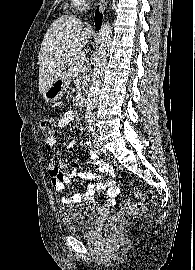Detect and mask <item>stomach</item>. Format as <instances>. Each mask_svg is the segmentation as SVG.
<instances>
[{
    "label": "stomach",
    "instance_id": "1",
    "mask_svg": "<svg viewBox=\"0 0 195 270\" xmlns=\"http://www.w3.org/2000/svg\"><path fill=\"white\" fill-rule=\"evenodd\" d=\"M70 84V78L66 73H62L52 85L43 93L46 102H55L59 100L66 92Z\"/></svg>",
    "mask_w": 195,
    "mask_h": 270
}]
</instances>
